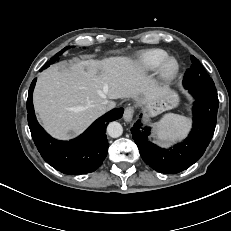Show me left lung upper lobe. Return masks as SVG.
<instances>
[{"mask_svg":"<svg viewBox=\"0 0 231 231\" xmlns=\"http://www.w3.org/2000/svg\"><path fill=\"white\" fill-rule=\"evenodd\" d=\"M192 66L185 73L183 85L185 88H201L212 92H217L213 80L199 60L191 56Z\"/></svg>","mask_w":231,"mask_h":231,"instance_id":"left-lung-upper-lobe-1","label":"left lung upper lobe"}]
</instances>
